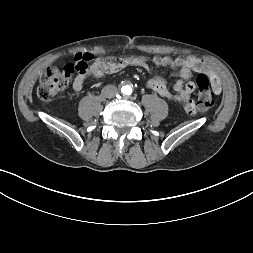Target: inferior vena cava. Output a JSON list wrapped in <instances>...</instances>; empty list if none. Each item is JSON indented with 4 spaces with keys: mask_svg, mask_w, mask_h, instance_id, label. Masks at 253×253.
I'll list each match as a JSON object with an SVG mask.
<instances>
[{
    "mask_svg": "<svg viewBox=\"0 0 253 253\" xmlns=\"http://www.w3.org/2000/svg\"><path fill=\"white\" fill-rule=\"evenodd\" d=\"M117 93V87L114 85H107L102 89V94L106 98H112Z\"/></svg>",
    "mask_w": 253,
    "mask_h": 253,
    "instance_id": "1",
    "label": "inferior vena cava"
}]
</instances>
